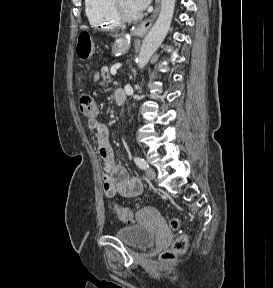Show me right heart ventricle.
Instances as JSON below:
<instances>
[{
	"label": "right heart ventricle",
	"instance_id": "right-heart-ventricle-1",
	"mask_svg": "<svg viewBox=\"0 0 273 288\" xmlns=\"http://www.w3.org/2000/svg\"><path fill=\"white\" fill-rule=\"evenodd\" d=\"M85 11L92 27L112 30L120 26L111 7V0H85Z\"/></svg>",
	"mask_w": 273,
	"mask_h": 288
}]
</instances>
